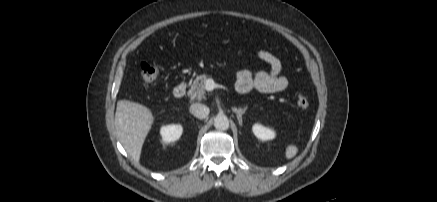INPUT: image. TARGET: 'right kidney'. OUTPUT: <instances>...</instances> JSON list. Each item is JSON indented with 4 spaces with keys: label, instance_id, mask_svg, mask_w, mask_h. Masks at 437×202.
Here are the masks:
<instances>
[{
    "label": "right kidney",
    "instance_id": "1",
    "mask_svg": "<svg viewBox=\"0 0 437 202\" xmlns=\"http://www.w3.org/2000/svg\"><path fill=\"white\" fill-rule=\"evenodd\" d=\"M182 132H183V128L181 125L172 124V125L163 126L160 129L162 142L164 143L174 142L180 138Z\"/></svg>",
    "mask_w": 437,
    "mask_h": 202
}]
</instances>
